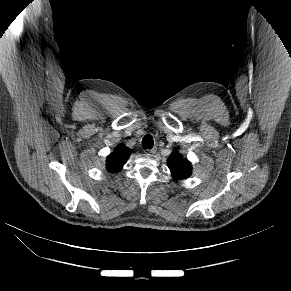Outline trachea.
Wrapping results in <instances>:
<instances>
[{"label":"trachea","instance_id":"trachea-1","mask_svg":"<svg viewBox=\"0 0 291 291\" xmlns=\"http://www.w3.org/2000/svg\"><path fill=\"white\" fill-rule=\"evenodd\" d=\"M153 144H154L153 138L149 134L145 135L144 138L142 139L143 148L152 149L153 148Z\"/></svg>","mask_w":291,"mask_h":291}]
</instances>
